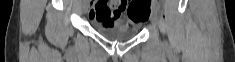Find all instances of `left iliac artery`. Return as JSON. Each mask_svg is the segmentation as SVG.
I'll list each match as a JSON object with an SVG mask.
<instances>
[{
	"label": "left iliac artery",
	"instance_id": "1",
	"mask_svg": "<svg viewBox=\"0 0 235 62\" xmlns=\"http://www.w3.org/2000/svg\"><path fill=\"white\" fill-rule=\"evenodd\" d=\"M153 6L154 8H156V10H159L160 8V5L157 2H154Z\"/></svg>",
	"mask_w": 235,
	"mask_h": 62
}]
</instances>
